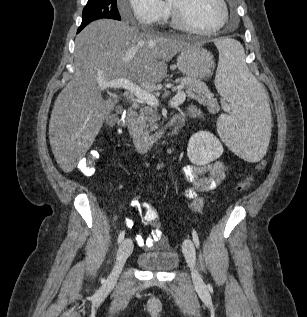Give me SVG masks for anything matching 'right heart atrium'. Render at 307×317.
<instances>
[{
	"label": "right heart atrium",
	"instance_id": "1",
	"mask_svg": "<svg viewBox=\"0 0 307 317\" xmlns=\"http://www.w3.org/2000/svg\"><path fill=\"white\" fill-rule=\"evenodd\" d=\"M128 6L121 5L123 18L132 16L140 25L152 26L163 22L168 15V7L162 0H127Z\"/></svg>",
	"mask_w": 307,
	"mask_h": 317
}]
</instances>
